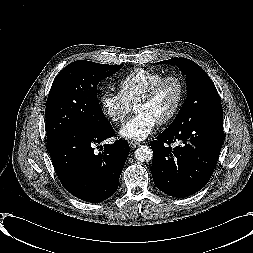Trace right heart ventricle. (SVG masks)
I'll return each mask as SVG.
<instances>
[{
	"mask_svg": "<svg viewBox=\"0 0 253 253\" xmlns=\"http://www.w3.org/2000/svg\"><path fill=\"white\" fill-rule=\"evenodd\" d=\"M164 75L162 71L136 68L119 80V93L130 105H134L147 89Z\"/></svg>",
	"mask_w": 253,
	"mask_h": 253,
	"instance_id": "obj_1",
	"label": "right heart ventricle"
}]
</instances>
